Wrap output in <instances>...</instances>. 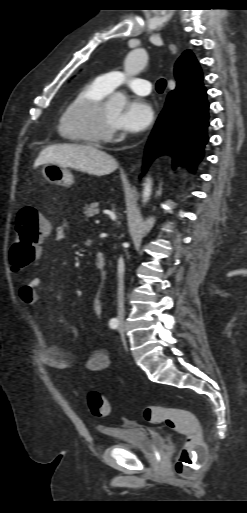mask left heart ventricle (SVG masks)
<instances>
[{"label":"left heart ventricle","mask_w":247,"mask_h":513,"mask_svg":"<svg viewBox=\"0 0 247 513\" xmlns=\"http://www.w3.org/2000/svg\"><path fill=\"white\" fill-rule=\"evenodd\" d=\"M119 115V109L111 102H107L104 110V120L110 127H114V122Z\"/></svg>","instance_id":"left-heart-ventricle-1"}]
</instances>
